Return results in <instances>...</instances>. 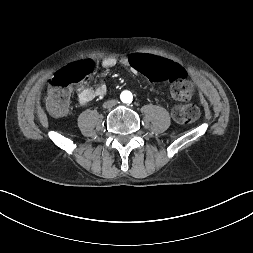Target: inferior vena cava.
<instances>
[{"label":"inferior vena cava","mask_w":253,"mask_h":253,"mask_svg":"<svg viewBox=\"0 0 253 253\" xmlns=\"http://www.w3.org/2000/svg\"><path fill=\"white\" fill-rule=\"evenodd\" d=\"M117 103H118V101L115 100V99L114 100H109V101L104 102L103 107L104 108H112L115 105H117Z\"/></svg>","instance_id":"602c4592"}]
</instances>
